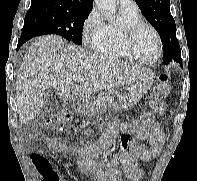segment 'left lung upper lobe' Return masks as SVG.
Wrapping results in <instances>:
<instances>
[{"instance_id": "left-lung-upper-lobe-1", "label": "left lung upper lobe", "mask_w": 197, "mask_h": 181, "mask_svg": "<svg viewBox=\"0 0 197 181\" xmlns=\"http://www.w3.org/2000/svg\"><path fill=\"white\" fill-rule=\"evenodd\" d=\"M144 17L160 34L163 44V62L174 60L182 64L181 50L176 38V25L170 13V0H135Z\"/></svg>"}]
</instances>
